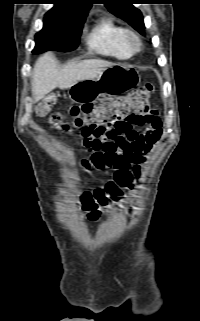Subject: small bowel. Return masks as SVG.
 Instances as JSON below:
<instances>
[{
	"instance_id": "1",
	"label": "small bowel",
	"mask_w": 200,
	"mask_h": 321,
	"mask_svg": "<svg viewBox=\"0 0 200 321\" xmlns=\"http://www.w3.org/2000/svg\"><path fill=\"white\" fill-rule=\"evenodd\" d=\"M162 136V122L156 110L134 115L113 125H96L83 131V145L93 155L112 165H139ZM133 213V210H130Z\"/></svg>"
}]
</instances>
